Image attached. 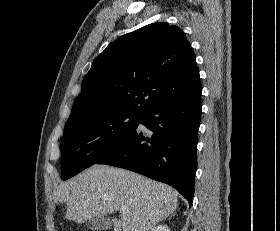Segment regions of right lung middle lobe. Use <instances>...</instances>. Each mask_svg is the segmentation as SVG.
Returning <instances> with one entry per match:
<instances>
[{
    "label": "right lung middle lobe",
    "instance_id": "obj_1",
    "mask_svg": "<svg viewBox=\"0 0 280 231\" xmlns=\"http://www.w3.org/2000/svg\"><path fill=\"white\" fill-rule=\"evenodd\" d=\"M141 116L117 113L68 120L60 144L61 179L67 180L105 157L137 128Z\"/></svg>",
    "mask_w": 280,
    "mask_h": 231
}]
</instances>
